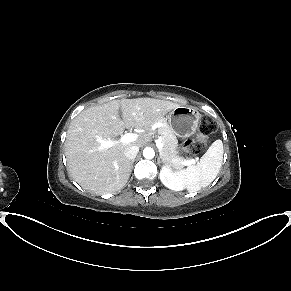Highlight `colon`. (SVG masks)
I'll use <instances>...</instances> for the list:
<instances>
[{"mask_svg": "<svg viewBox=\"0 0 291 291\" xmlns=\"http://www.w3.org/2000/svg\"><path fill=\"white\" fill-rule=\"evenodd\" d=\"M216 125L212 120L203 119L200 124V131L204 135L213 133ZM202 148V143L194 139H187L180 146V153L185 156L197 154Z\"/></svg>", "mask_w": 291, "mask_h": 291, "instance_id": "5ec220e1", "label": "colon"}]
</instances>
